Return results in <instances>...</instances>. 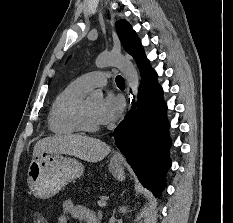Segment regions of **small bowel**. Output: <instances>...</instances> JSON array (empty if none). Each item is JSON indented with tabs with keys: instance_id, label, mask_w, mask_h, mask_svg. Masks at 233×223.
Wrapping results in <instances>:
<instances>
[{
	"instance_id": "small-bowel-1",
	"label": "small bowel",
	"mask_w": 233,
	"mask_h": 223,
	"mask_svg": "<svg viewBox=\"0 0 233 223\" xmlns=\"http://www.w3.org/2000/svg\"><path fill=\"white\" fill-rule=\"evenodd\" d=\"M69 217L84 223H101L98 215L90 208L74 204L71 200H65L62 203V213L57 223H68Z\"/></svg>"
}]
</instances>
